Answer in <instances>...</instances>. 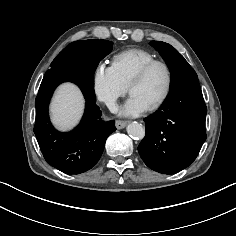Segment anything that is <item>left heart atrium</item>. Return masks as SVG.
I'll list each match as a JSON object with an SVG mask.
<instances>
[{"label": "left heart atrium", "mask_w": 236, "mask_h": 236, "mask_svg": "<svg viewBox=\"0 0 236 236\" xmlns=\"http://www.w3.org/2000/svg\"><path fill=\"white\" fill-rule=\"evenodd\" d=\"M149 106L138 96L130 95L126 103L120 109V114L124 116H138L147 111Z\"/></svg>", "instance_id": "obj_1"}]
</instances>
